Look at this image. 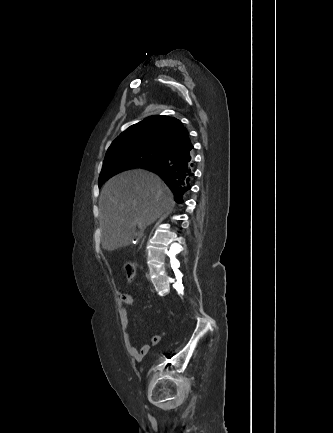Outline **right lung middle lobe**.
Returning a JSON list of instances; mask_svg holds the SVG:
<instances>
[{
    "label": "right lung middle lobe",
    "mask_w": 333,
    "mask_h": 433,
    "mask_svg": "<svg viewBox=\"0 0 333 433\" xmlns=\"http://www.w3.org/2000/svg\"><path fill=\"white\" fill-rule=\"evenodd\" d=\"M168 155L157 148L133 147L116 149L106 154L99 176V187L117 173L135 167L147 168Z\"/></svg>",
    "instance_id": "right-lung-middle-lobe-1"
}]
</instances>
